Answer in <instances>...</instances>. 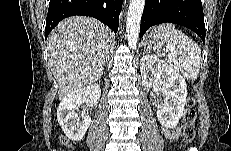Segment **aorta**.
<instances>
[{"label":"aorta","instance_id":"1","mask_svg":"<svg viewBox=\"0 0 231 151\" xmlns=\"http://www.w3.org/2000/svg\"><path fill=\"white\" fill-rule=\"evenodd\" d=\"M145 6V0H131L127 12L126 33L128 46L136 49L139 39L141 17Z\"/></svg>","mask_w":231,"mask_h":151}]
</instances>
